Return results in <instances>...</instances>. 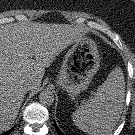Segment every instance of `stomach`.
Wrapping results in <instances>:
<instances>
[{"instance_id":"obj_1","label":"stomach","mask_w":135,"mask_h":135,"mask_svg":"<svg viewBox=\"0 0 135 135\" xmlns=\"http://www.w3.org/2000/svg\"><path fill=\"white\" fill-rule=\"evenodd\" d=\"M100 60L96 43L89 37L81 38L66 53L57 84L66 90L70 97L78 96L87 89L99 70Z\"/></svg>"}]
</instances>
